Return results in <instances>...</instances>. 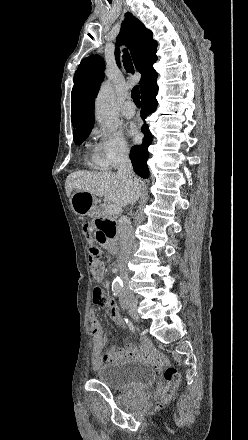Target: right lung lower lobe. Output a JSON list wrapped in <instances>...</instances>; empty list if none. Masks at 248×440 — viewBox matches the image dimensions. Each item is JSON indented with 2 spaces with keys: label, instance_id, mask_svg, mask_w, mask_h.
I'll use <instances>...</instances> for the list:
<instances>
[{
  "label": "right lung lower lobe",
  "instance_id": "1",
  "mask_svg": "<svg viewBox=\"0 0 248 440\" xmlns=\"http://www.w3.org/2000/svg\"><path fill=\"white\" fill-rule=\"evenodd\" d=\"M158 92V86L154 85L147 89L141 95V117L143 120L154 112L157 108L156 95ZM144 134V140L141 145L133 146L130 152V159L136 174L142 178H148L149 169L147 166L148 160V146L151 144L152 135L149 130L148 124H144L141 128Z\"/></svg>",
  "mask_w": 248,
  "mask_h": 440
}]
</instances>
